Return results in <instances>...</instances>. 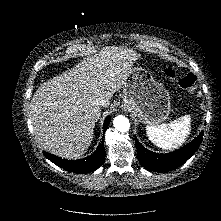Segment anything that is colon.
<instances>
[{
	"mask_svg": "<svg viewBox=\"0 0 221 221\" xmlns=\"http://www.w3.org/2000/svg\"><path fill=\"white\" fill-rule=\"evenodd\" d=\"M164 73L167 77L177 80L178 84L189 93L194 94L196 91V77L191 74H185L181 77H177L174 69L167 67L164 69Z\"/></svg>",
	"mask_w": 221,
	"mask_h": 221,
	"instance_id": "colon-1",
	"label": "colon"
}]
</instances>
